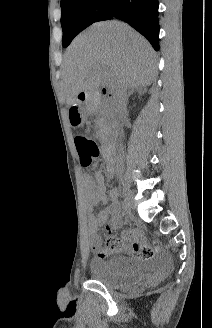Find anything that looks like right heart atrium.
<instances>
[{"mask_svg": "<svg viewBox=\"0 0 212 328\" xmlns=\"http://www.w3.org/2000/svg\"><path fill=\"white\" fill-rule=\"evenodd\" d=\"M94 7H95V10L96 11H100L101 10V5L97 1H95Z\"/></svg>", "mask_w": 212, "mask_h": 328, "instance_id": "obj_1", "label": "right heart atrium"}]
</instances>
